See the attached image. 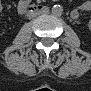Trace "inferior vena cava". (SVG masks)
<instances>
[{"label":"inferior vena cava","mask_w":91,"mask_h":91,"mask_svg":"<svg viewBox=\"0 0 91 91\" xmlns=\"http://www.w3.org/2000/svg\"><path fill=\"white\" fill-rule=\"evenodd\" d=\"M48 13H49L48 10H46V9L44 10L41 8V9L33 10L31 14H32V16L36 17V16H40V15L46 16V15H48Z\"/></svg>","instance_id":"602c4592"}]
</instances>
